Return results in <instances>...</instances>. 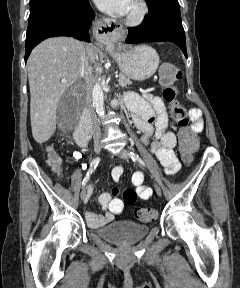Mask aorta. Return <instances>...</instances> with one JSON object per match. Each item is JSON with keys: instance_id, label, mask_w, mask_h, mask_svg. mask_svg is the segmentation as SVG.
<instances>
[{"instance_id": "762f6f07", "label": "aorta", "mask_w": 240, "mask_h": 288, "mask_svg": "<svg viewBox=\"0 0 240 288\" xmlns=\"http://www.w3.org/2000/svg\"><path fill=\"white\" fill-rule=\"evenodd\" d=\"M92 101H93V106L95 107V110L97 114L100 117L104 116V95H103V90L102 87L99 83H96L93 87L92 90Z\"/></svg>"}]
</instances>
